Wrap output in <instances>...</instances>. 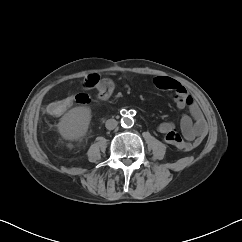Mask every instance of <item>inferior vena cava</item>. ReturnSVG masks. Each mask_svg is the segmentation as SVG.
Segmentation results:
<instances>
[{
	"instance_id": "obj_1",
	"label": "inferior vena cava",
	"mask_w": 242,
	"mask_h": 242,
	"mask_svg": "<svg viewBox=\"0 0 242 242\" xmlns=\"http://www.w3.org/2000/svg\"><path fill=\"white\" fill-rule=\"evenodd\" d=\"M118 125V122L115 120V119H108L105 123V127L108 129V130H113L117 127Z\"/></svg>"
}]
</instances>
